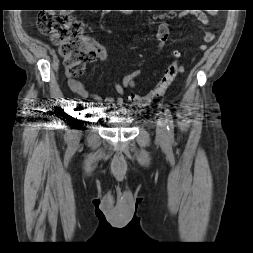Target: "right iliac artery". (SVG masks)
Returning <instances> with one entry per match:
<instances>
[{"label": "right iliac artery", "mask_w": 253, "mask_h": 253, "mask_svg": "<svg viewBox=\"0 0 253 253\" xmlns=\"http://www.w3.org/2000/svg\"><path fill=\"white\" fill-rule=\"evenodd\" d=\"M77 98H74V101H72V104L70 105V108L67 110V114H66V132H65V138L69 139L70 138V129H69V125L72 123V119H73V115L75 112V104H76Z\"/></svg>", "instance_id": "right-iliac-artery-1"}]
</instances>
